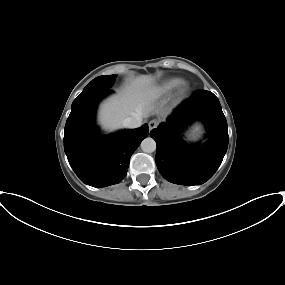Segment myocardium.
<instances>
[{"instance_id": "f54148a6", "label": "myocardium", "mask_w": 285, "mask_h": 285, "mask_svg": "<svg viewBox=\"0 0 285 285\" xmlns=\"http://www.w3.org/2000/svg\"><path fill=\"white\" fill-rule=\"evenodd\" d=\"M190 90V85L187 82H181L179 85L178 96L184 98Z\"/></svg>"}]
</instances>
